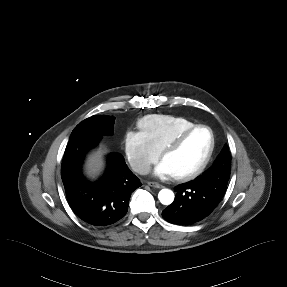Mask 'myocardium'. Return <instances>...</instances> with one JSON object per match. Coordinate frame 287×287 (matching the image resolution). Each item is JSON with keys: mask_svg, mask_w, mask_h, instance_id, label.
Instances as JSON below:
<instances>
[{"mask_svg": "<svg viewBox=\"0 0 287 287\" xmlns=\"http://www.w3.org/2000/svg\"><path fill=\"white\" fill-rule=\"evenodd\" d=\"M198 129H206L211 137V143H210V147L209 150L207 152V155L205 156L204 160L200 163V165L194 169L193 171L186 173V174H182V175H174L171 176V178L175 181H189V180H193L194 178L198 177L201 173L204 172V170L207 168V166L209 165L214 151H215V145H216V141H215V134L212 130L211 127L204 125V124H196L182 132H180L174 139H172L161 151L160 154V159L162 160L166 155L174 152L175 150H177L182 144L183 142L188 138L189 135H191L194 131L198 130Z\"/></svg>", "mask_w": 287, "mask_h": 287, "instance_id": "myocardium-1", "label": "myocardium"}]
</instances>
